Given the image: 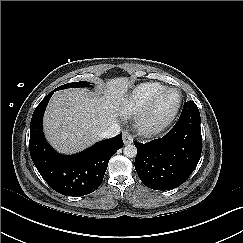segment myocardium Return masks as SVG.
<instances>
[{
    "label": "myocardium",
    "instance_id": "f54148a6",
    "mask_svg": "<svg viewBox=\"0 0 243 243\" xmlns=\"http://www.w3.org/2000/svg\"><path fill=\"white\" fill-rule=\"evenodd\" d=\"M170 91L177 92L178 102L172 111L165 115H160L157 112L158 105L162 97ZM182 102L183 94L178 88L165 87L135 116V126L137 130L144 136H153L160 133L177 117L182 107Z\"/></svg>",
    "mask_w": 243,
    "mask_h": 243
}]
</instances>
